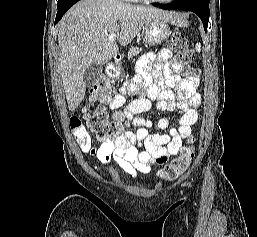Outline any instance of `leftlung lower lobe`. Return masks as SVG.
Segmentation results:
<instances>
[{
    "label": "left lung lower lobe",
    "mask_w": 257,
    "mask_h": 237,
    "mask_svg": "<svg viewBox=\"0 0 257 237\" xmlns=\"http://www.w3.org/2000/svg\"><path fill=\"white\" fill-rule=\"evenodd\" d=\"M156 7L166 10H185V11H192L202 20L203 26L205 31H207V26L209 22V2H202V1H189L186 3H180L177 0L171 4H159L154 3L152 4Z\"/></svg>",
    "instance_id": "0a47b994"
}]
</instances>
